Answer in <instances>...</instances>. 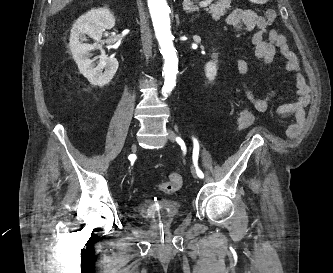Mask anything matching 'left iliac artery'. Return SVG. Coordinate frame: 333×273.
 <instances>
[{
	"instance_id": "obj_1",
	"label": "left iliac artery",
	"mask_w": 333,
	"mask_h": 273,
	"mask_svg": "<svg viewBox=\"0 0 333 273\" xmlns=\"http://www.w3.org/2000/svg\"><path fill=\"white\" fill-rule=\"evenodd\" d=\"M176 141L179 144H183V140L180 137H177ZM193 142H194L193 155H192L193 164L195 166L197 176L199 178H204L203 172L198 167L199 143H198L197 139H195V138H193Z\"/></svg>"
}]
</instances>
